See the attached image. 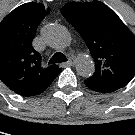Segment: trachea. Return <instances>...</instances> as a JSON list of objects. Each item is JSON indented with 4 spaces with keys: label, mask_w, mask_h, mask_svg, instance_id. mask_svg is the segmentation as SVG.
Returning <instances> with one entry per match:
<instances>
[{
    "label": "trachea",
    "mask_w": 135,
    "mask_h": 135,
    "mask_svg": "<svg viewBox=\"0 0 135 135\" xmlns=\"http://www.w3.org/2000/svg\"><path fill=\"white\" fill-rule=\"evenodd\" d=\"M66 61H67L66 56L61 52H57L49 60V64L61 63V62H66Z\"/></svg>",
    "instance_id": "obj_1"
}]
</instances>
